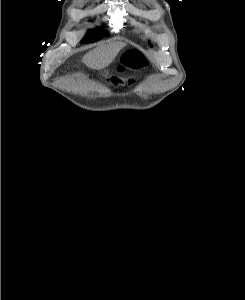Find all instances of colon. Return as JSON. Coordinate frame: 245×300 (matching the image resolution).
Masks as SVG:
<instances>
[{"mask_svg":"<svg viewBox=\"0 0 245 300\" xmlns=\"http://www.w3.org/2000/svg\"><path fill=\"white\" fill-rule=\"evenodd\" d=\"M146 59L141 52L133 51L126 54L122 60L120 71L125 69H141L146 65Z\"/></svg>","mask_w":245,"mask_h":300,"instance_id":"1","label":"colon"}]
</instances>
